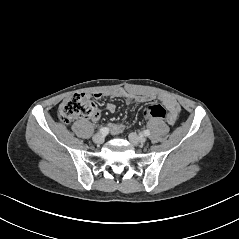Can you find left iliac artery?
Returning <instances> with one entry per match:
<instances>
[{
  "mask_svg": "<svg viewBox=\"0 0 239 239\" xmlns=\"http://www.w3.org/2000/svg\"><path fill=\"white\" fill-rule=\"evenodd\" d=\"M143 134H144L145 136H149V135H150V132H149V130H145V131L143 132Z\"/></svg>",
  "mask_w": 239,
  "mask_h": 239,
  "instance_id": "1",
  "label": "left iliac artery"
}]
</instances>
